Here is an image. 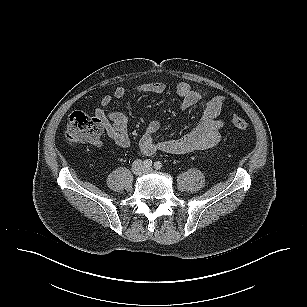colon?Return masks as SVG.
<instances>
[{"label":"colon","mask_w":307,"mask_h":307,"mask_svg":"<svg viewBox=\"0 0 307 307\" xmlns=\"http://www.w3.org/2000/svg\"><path fill=\"white\" fill-rule=\"evenodd\" d=\"M231 122L240 130H246L249 127L248 122L237 115H232ZM102 131V124L97 118L76 111L68 118L65 137L72 145L95 143L100 139Z\"/></svg>","instance_id":"colon-1"}]
</instances>
